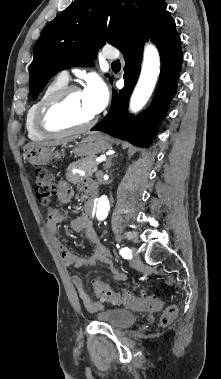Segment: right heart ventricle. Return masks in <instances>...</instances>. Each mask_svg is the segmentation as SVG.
Here are the masks:
<instances>
[{
  "label": "right heart ventricle",
  "instance_id": "e07e8e85",
  "mask_svg": "<svg viewBox=\"0 0 221 379\" xmlns=\"http://www.w3.org/2000/svg\"><path fill=\"white\" fill-rule=\"evenodd\" d=\"M65 85H66V81L60 79L59 77L55 78L46 86V88L43 90L40 96L29 107L26 114L25 124H26L27 135L31 140L41 141L48 138V136L42 133L37 127L36 113L39 106L50 94H52L54 91L58 90L59 88Z\"/></svg>",
  "mask_w": 221,
  "mask_h": 379
}]
</instances>
